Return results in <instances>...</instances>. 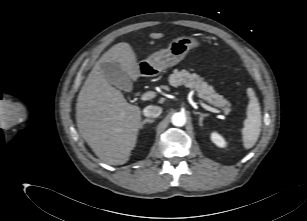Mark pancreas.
<instances>
[{
  "label": "pancreas",
  "instance_id": "pancreas-1",
  "mask_svg": "<svg viewBox=\"0 0 307 221\" xmlns=\"http://www.w3.org/2000/svg\"><path fill=\"white\" fill-rule=\"evenodd\" d=\"M169 83L174 87L185 85L187 88L194 90L200 98L209 102L211 105L222 108L226 114L230 112L229 101L216 93L212 86L204 82L203 79L195 73H190L184 69L181 71L175 70L174 73L169 76Z\"/></svg>",
  "mask_w": 307,
  "mask_h": 221
}]
</instances>
